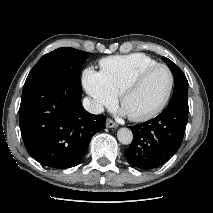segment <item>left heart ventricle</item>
<instances>
[{
  "instance_id": "obj_1",
  "label": "left heart ventricle",
  "mask_w": 213,
  "mask_h": 213,
  "mask_svg": "<svg viewBox=\"0 0 213 213\" xmlns=\"http://www.w3.org/2000/svg\"><path fill=\"white\" fill-rule=\"evenodd\" d=\"M169 85L165 69H156L124 99L122 108L128 115H140L153 109L164 97Z\"/></svg>"
}]
</instances>
